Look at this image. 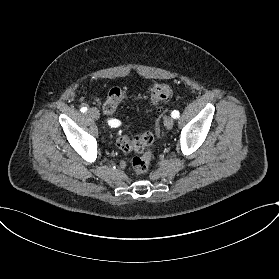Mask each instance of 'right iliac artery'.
<instances>
[{
	"label": "right iliac artery",
	"mask_w": 279,
	"mask_h": 279,
	"mask_svg": "<svg viewBox=\"0 0 279 279\" xmlns=\"http://www.w3.org/2000/svg\"><path fill=\"white\" fill-rule=\"evenodd\" d=\"M88 109H87V107H82L81 109H80V111L81 112H86ZM109 122V125L111 126V127H117V126H119V128L120 129H123L124 128V123L123 122H119L118 120H110V121H108Z\"/></svg>",
	"instance_id": "82829eb1"
}]
</instances>
